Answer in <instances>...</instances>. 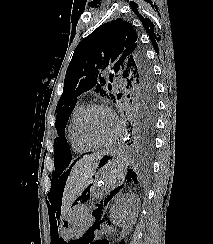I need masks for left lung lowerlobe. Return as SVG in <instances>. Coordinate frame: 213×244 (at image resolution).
Wrapping results in <instances>:
<instances>
[{"instance_id":"obj_1","label":"left lung lower lobe","mask_w":213,"mask_h":244,"mask_svg":"<svg viewBox=\"0 0 213 244\" xmlns=\"http://www.w3.org/2000/svg\"><path fill=\"white\" fill-rule=\"evenodd\" d=\"M127 114L129 116V130L125 145L132 154L138 157H147L153 151L156 118L147 114H137L130 110Z\"/></svg>"}]
</instances>
